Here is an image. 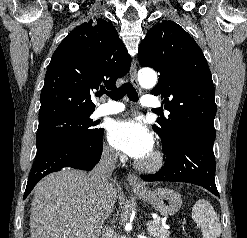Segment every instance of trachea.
<instances>
[{"label": "trachea", "mask_w": 247, "mask_h": 238, "mask_svg": "<svg viewBox=\"0 0 247 238\" xmlns=\"http://www.w3.org/2000/svg\"><path fill=\"white\" fill-rule=\"evenodd\" d=\"M102 94H106L112 100H115V101L120 100L125 94H127V96L129 97L131 101L133 102L138 101V94L135 88L133 87V85L129 82L124 83L121 87H119L118 89L114 91H111V92L102 91L100 95Z\"/></svg>", "instance_id": "1"}]
</instances>
